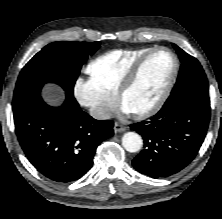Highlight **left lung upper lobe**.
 Wrapping results in <instances>:
<instances>
[{"label":"left lung upper lobe","instance_id":"5c2ea615","mask_svg":"<svg viewBox=\"0 0 222 219\" xmlns=\"http://www.w3.org/2000/svg\"><path fill=\"white\" fill-rule=\"evenodd\" d=\"M173 46L182 64L169 98L179 95H193L204 101H209L208 81L202 66L197 59L187 54L177 45L173 44Z\"/></svg>","mask_w":222,"mask_h":219}]
</instances>
